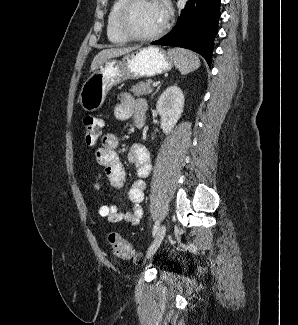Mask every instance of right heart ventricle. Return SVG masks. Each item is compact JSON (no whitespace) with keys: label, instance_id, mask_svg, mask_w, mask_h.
<instances>
[{"label":"right heart ventricle","instance_id":"obj_1","mask_svg":"<svg viewBox=\"0 0 298 325\" xmlns=\"http://www.w3.org/2000/svg\"><path fill=\"white\" fill-rule=\"evenodd\" d=\"M124 2V0L115 1L107 16L106 34L108 41L114 46H124L129 43V40L121 36L116 28V19Z\"/></svg>","mask_w":298,"mask_h":325}]
</instances>
